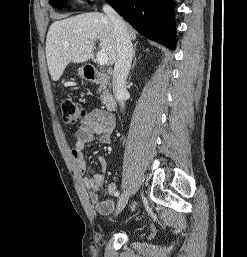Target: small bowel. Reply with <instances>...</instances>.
<instances>
[{"label": "small bowel", "mask_w": 247, "mask_h": 257, "mask_svg": "<svg viewBox=\"0 0 247 257\" xmlns=\"http://www.w3.org/2000/svg\"><path fill=\"white\" fill-rule=\"evenodd\" d=\"M115 125V119L110 114L99 109L91 110L78 125L75 132V146L71 152L79 172L84 175L83 180L90 192V199L101 215H109L115 208V200H101L99 198L100 188L106 178L108 163L105 157L99 156L98 161L101 171L88 176L86 175L88 165L83 151L93 141L95 135L99 136V141L102 144H109ZM107 191L109 195L116 197L118 192L116 184L110 183Z\"/></svg>", "instance_id": "1"}]
</instances>
